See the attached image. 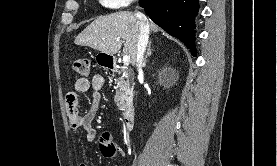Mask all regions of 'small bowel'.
<instances>
[{
  "instance_id": "c3829d8e",
  "label": "small bowel",
  "mask_w": 277,
  "mask_h": 166,
  "mask_svg": "<svg viewBox=\"0 0 277 166\" xmlns=\"http://www.w3.org/2000/svg\"><path fill=\"white\" fill-rule=\"evenodd\" d=\"M104 85V78L100 74H95L91 79L79 78L75 83V92L69 93L66 97V112L70 126L75 129L85 130L87 142H94L97 138L96 130L92 127V121L96 115L101 99V90ZM92 90V103L89 110L81 115L78 112V93H86ZM100 153L109 158L124 156L123 149L114 144L112 135L109 132L103 133L98 140ZM80 166H88L82 163Z\"/></svg>"
}]
</instances>
